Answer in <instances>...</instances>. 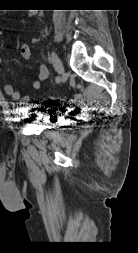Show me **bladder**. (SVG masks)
<instances>
[{"mask_svg": "<svg viewBox=\"0 0 138 253\" xmlns=\"http://www.w3.org/2000/svg\"><path fill=\"white\" fill-rule=\"evenodd\" d=\"M36 120L39 121L40 118H37V116H36ZM45 127H50V126H49V125H46Z\"/></svg>", "mask_w": 138, "mask_h": 253, "instance_id": "obj_1", "label": "bladder"}]
</instances>
